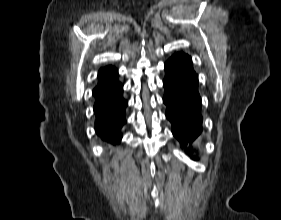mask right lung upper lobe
<instances>
[{
  "mask_svg": "<svg viewBox=\"0 0 281 220\" xmlns=\"http://www.w3.org/2000/svg\"><path fill=\"white\" fill-rule=\"evenodd\" d=\"M117 69L113 66H106L101 68L98 72L97 86L109 85L117 82Z\"/></svg>",
  "mask_w": 281,
  "mask_h": 220,
  "instance_id": "cb5924a9",
  "label": "right lung upper lobe"
}]
</instances>
